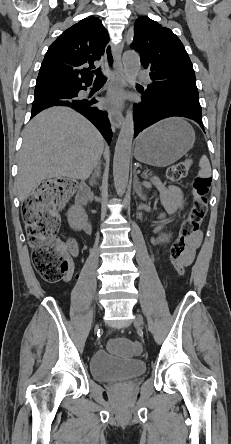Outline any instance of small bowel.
I'll return each mask as SVG.
<instances>
[{"label":"small bowel","instance_id":"obj_1","mask_svg":"<svg viewBox=\"0 0 231 444\" xmlns=\"http://www.w3.org/2000/svg\"><path fill=\"white\" fill-rule=\"evenodd\" d=\"M158 194L159 200L167 213H175L178 210L183 208V197L181 190L175 186H164L159 181H155L154 183ZM160 226L158 229H161ZM202 234L201 232H197L193 238L189 241L188 248L183 254L182 260L186 266L190 265L195 257V253L200 246ZM67 249L73 253H77V245L74 240H69L66 244ZM72 276V272L69 271L65 276V281H68Z\"/></svg>","mask_w":231,"mask_h":444}]
</instances>
